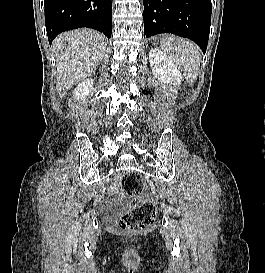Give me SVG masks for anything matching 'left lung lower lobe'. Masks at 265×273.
<instances>
[{"label": "left lung lower lobe", "mask_w": 265, "mask_h": 273, "mask_svg": "<svg viewBox=\"0 0 265 273\" xmlns=\"http://www.w3.org/2000/svg\"><path fill=\"white\" fill-rule=\"evenodd\" d=\"M211 0H144V37L172 33L193 40L205 53Z\"/></svg>", "instance_id": "1"}]
</instances>
